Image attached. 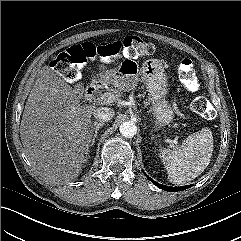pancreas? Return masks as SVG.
Listing matches in <instances>:
<instances>
[{
    "label": "pancreas",
    "instance_id": "obj_1",
    "mask_svg": "<svg viewBox=\"0 0 241 241\" xmlns=\"http://www.w3.org/2000/svg\"><path fill=\"white\" fill-rule=\"evenodd\" d=\"M109 91L111 93H115V94H119L120 93V91L118 89H115V88H110Z\"/></svg>",
    "mask_w": 241,
    "mask_h": 241
}]
</instances>
